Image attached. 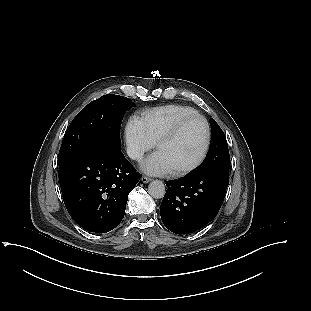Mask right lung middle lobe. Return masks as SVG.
Segmentation results:
<instances>
[{
	"mask_svg": "<svg viewBox=\"0 0 311 311\" xmlns=\"http://www.w3.org/2000/svg\"><path fill=\"white\" fill-rule=\"evenodd\" d=\"M133 102L119 95H104L84 107L69 125L59 152V166L91 151H120V127Z\"/></svg>",
	"mask_w": 311,
	"mask_h": 311,
	"instance_id": "obj_1",
	"label": "right lung middle lobe"
}]
</instances>
